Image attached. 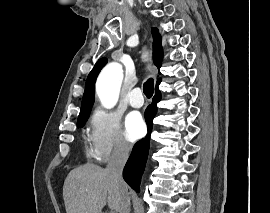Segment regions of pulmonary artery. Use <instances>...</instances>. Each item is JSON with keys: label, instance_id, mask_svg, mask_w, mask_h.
I'll return each instance as SVG.
<instances>
[{"label": "pulmonary artery", "instance_id": "e3ab8cb5", "mask_svg": "<svg viewBox=\"0 0 270 213\" xmlns=\"http://www.w3.org/2000/svg\"><path fill=\"white\" fill-rule=\"evenodd\" d=\"M129 103L135 108H140L143 105L144 99L140 88H135L129 93Z\"/></svg>", "mask_w": 270, "mask_h": 213}]
</instances>
